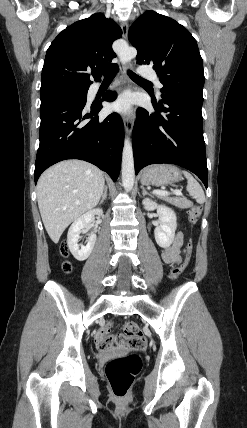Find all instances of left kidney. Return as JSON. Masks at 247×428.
<instances>
[{"instance_id": "1", "label": "left kidney", "mask_w": 247, "mask_h": 428, "mask_svg": "<svg viewBox=\"0 0 247 428\" xmlns=\"http://www.w3.org/2000/svg\"><path fill=\"white\" fill-rule=\"evenodd\" d=\"M142 204L145 210L151 211L157 209L159 226L154 230L155 240L160 247L168 248L175 237L177 228L176 214L171 208L165 205H158L148 198L144 199Z\"/></svg>"}]
</instances>
